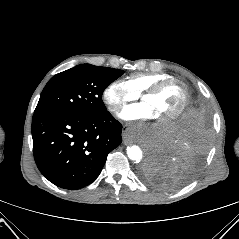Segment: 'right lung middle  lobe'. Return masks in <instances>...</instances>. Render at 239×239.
Masks as SVG:
<instances>
[{
  "mask_svg": "<svg viewBox=\"0 0 239 239\" xmlns=\"http://www.w3.org/2000/svg\"><path fill=\"white\" fill-rule=\"evenodd\" d=\"M124 71L90 64L77 65L53 76L44 87L34 111L99 115L107 111L102 94Z\"/></svg>",
  "mask_w": 239,
  "mask_h": 239,
  "instance_id": "dd1d6c3e",
  "label": "right lung middle lobe"
}]
</instances>
